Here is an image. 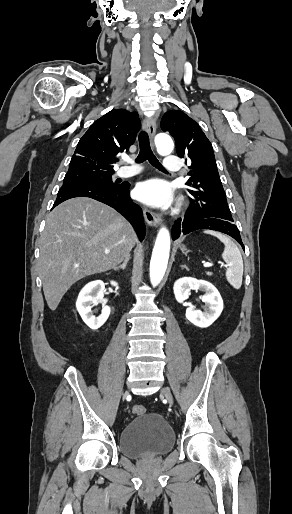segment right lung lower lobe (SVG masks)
Listing matches in <instances>:
<instances>
[{
	"instance_id": "98d812e1",
	"label": "right lung lower lobe",
	"mask_w": 292,
	"mask_h": 514,
	"mask_svg": "<svg viewBox=\"0 0 292 514\" xmlns=\"http://www.w3.org/2000/svg\"><path fill=\"white\" fill-rule=\"evenodd\" d=\"M130 184L125 182L116 187L96 185L84 182L63 183L58 191L53 208L65 200L74 197H89L105 203L122 214L134 227L139 239L145 237V224L142 209L130 198Z\"/></svg>"
}]
</instances>
